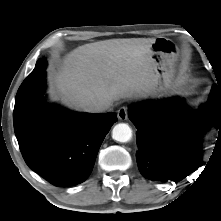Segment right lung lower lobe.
Masks as SVG:
<instances>
[{"instance_id":"right-lung-lower-lobe-1","label":"right lung lower lobe","mask_w":221,"mask_h":221,"mask_svg":"<svg viewBox=\"0 0 221 221\" xmlns=\"http://www.w3.org/2000/svg\"><path fill=\"white\" fill-rule=\"evenodd\" d=\"M46 64L40 61L17 92L14 114L21 102H31L26 118L14 120V130L30 169L55 186L76 185L90 175L117 117L114 113H74L48 104L43 97Z\"/></svg>"}]
</instances>
